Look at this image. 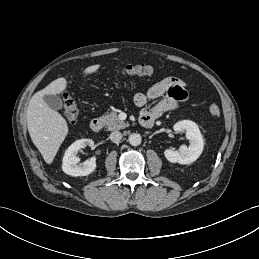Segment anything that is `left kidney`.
I'll return each mask as SVG.
<instances>
[{"mask_svg": "<svg viewBox=\"0 0 259 259\" xmlns=\"http://www.w3.org/2000/svg\"><path fill=\"white\" fill-rule=\"evenodd\" d=\"M176 132L185 131L189 146H181L179 151L166 149L164 156L171 163L191 164L202 154L204 142L197 124L190 120H182L174 124Z\"/></svg>", "mask_w": 259, "mask_h": 259, "instance_id": "1", "label": "left kidney"}]
</instances>
